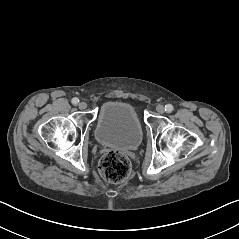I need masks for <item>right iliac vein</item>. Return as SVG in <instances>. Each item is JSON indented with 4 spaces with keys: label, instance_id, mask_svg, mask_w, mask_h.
Returning <instances> with one entry per match:
<instances>
[{
    "label": "right iliac vein",
    "instance_id": "1",
    "mask_svg": "<svg viewBox=\"0 0 239 239\" xmlns=\"http://www.w3.org/2000/svg\"><path fill=\"white\" fill-rule=\"evenodd\" d=\"M79 109L84 110L87 108V103L86 102H80L78 104Z\"/></svg>",
    "mask_w": 239,
    "mask_h": 239
}]
</instances>
